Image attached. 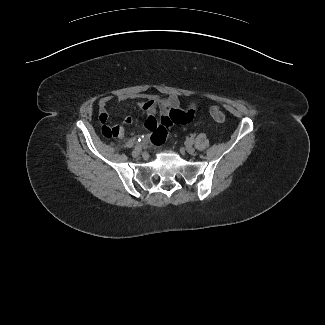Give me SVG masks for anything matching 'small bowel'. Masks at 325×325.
Masks as SVG:
<instances>
[{"label":"small bowel","instance_id":"small-bowel-1","mask_svg":"<svg viewBox=\"0 0 325 325\" xmlns=\"http://www.w3.org/2000/svg\"><path fill=\"white\" fill-rule=\"evenodd\" d=\"M134 96L120 94L117 100L120 102L126 101ZM113 100V96L106 95L99 102V121L103 125L102 131L106 128L116 127L118 133L115 136L122 137L124 129L122 125L108 126L110 120L108 105ZM180 100L175 95L167 97H159L156 95H143L137 102V108L145 111L147 117L144 122V128L151 140L160 145L165 142L169 135L170 128L173 125H182L191 122L195 116V109L190 106L187 110H178ZM133 122L132 117L127 116L122 120L123 125H130Z\"/></svg>","mask_w":325,"mask_h":325}]
</instances>
